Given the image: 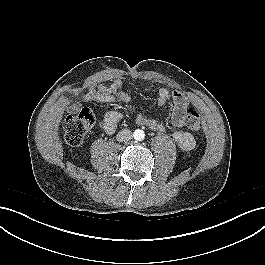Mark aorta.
Segmentation results:
<instances>
[{
    "instance_id": "aorta-1",
    "label": "aorta",
    "mask_w": 265,
    "mask_h": 265,
    "mask_svg": "<svg viewBox=\"0 0 265 265\" xmlns=\"http://www.w3.org/2000/svg\"><path fill=\"white\" fill-rule=\"evenodd\" d=\"M134 139L137 140V141H141L144 139L145 137V134H144V131L143 130H140V129H137L134 131Z\"/></svg>"
}]
</instances>
